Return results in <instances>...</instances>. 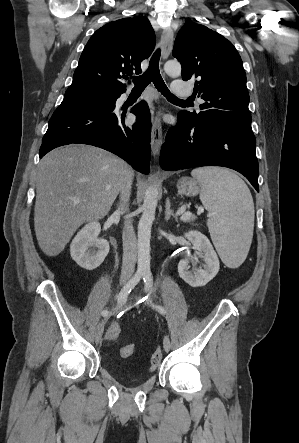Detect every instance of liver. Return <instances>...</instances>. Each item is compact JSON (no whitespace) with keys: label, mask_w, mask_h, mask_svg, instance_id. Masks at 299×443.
Returning a JSON list of instances; mask_svg holds the SVG:
<instances>
[{"label":"liver","mask_w":299,"mask_h":443,"mask_svg":"<svg viewBox=\"0 0 299 443\" xmlns=\"http://www.w3.org/2000/svg\"><path fill=\"white\" fill-rule=\"evenodd\" d=\"M134 171L124 160L100 148L69 145L52 150L36 176L34 228L48 256L62 252L77 228L108 214Z\"/></svg>","instance_id":"1"}]
</instances>
